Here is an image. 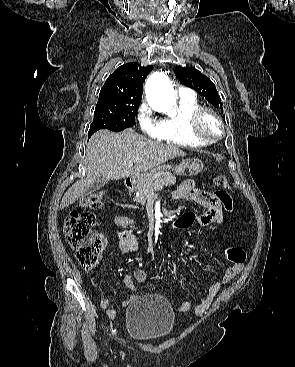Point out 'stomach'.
Returning <instances> with one entry per match:
<instances>
[{
	"mask_svg": "<svg viewBox=\"0 0 295 367\" xmlns=\"http://www.w3.org/2000/svg\"><path fill=\"white\" fill-rule=\"evenodd\" d=\"M203 168L204 164L202 163V161L198 159H187L176 167L164 165L162 167H158L157 169H153L149 172L141 174L140 176L133 179V184L135 187L138 188L139 186L149 182L155 175L159 173H164V171L167 169L172 170L176 175L179 176H194L200 173Z\"/></svg>",
	"mask_w": 295,
	"mask_h": 367,
	"instance_id": "0dacf381",
	"label": "stomach"
}]
</instances>
